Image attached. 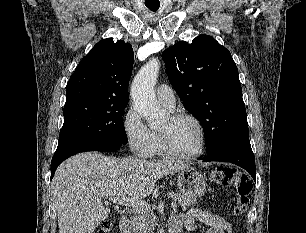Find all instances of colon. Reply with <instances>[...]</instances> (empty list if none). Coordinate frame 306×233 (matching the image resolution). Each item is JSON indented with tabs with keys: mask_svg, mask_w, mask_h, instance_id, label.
<instances>
[{
	"mask_svg": "<svg viewBox=\"0 0 306 233\" xmlns=\"http://www.w3.org/2000/svg\"><path fill=\"white\" fill-rule=\"evenodd\" d=\"M211 178L221 186H234L237 197L233 209L235 216H243L249 207V194L252 189V183L248 176L232 167L220 166L211 174ZM112 223L109 220H104L94 233H111Z\"/></svg>",
	"mask_w": 306,
	"mask_h": 233,
	"instance_id": "5ec220e1",
	"label": "colon"
}]
</instances>
